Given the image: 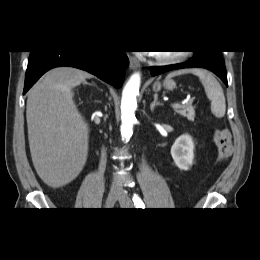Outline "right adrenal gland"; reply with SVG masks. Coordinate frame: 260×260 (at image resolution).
Instances as JSON below:
<instances>
[{
    "mask_svg": "<svg viewBox=\"0 0 260 260\" xmlns=\"http://www.w3.org/2000/svg\"><path fill=\"white\" fill-rule=\"evenodd\" d=\"M85 84H87L86 82H85ZM89 85H95L94 83L93 84H89ZM96 86V85H95Z\"/></svg>",
    "mask_w": 260,
    "mask_h": 260,
    "instance_id": "obj_1",
    "label": "right adrenal gland"
}]
</instances>
